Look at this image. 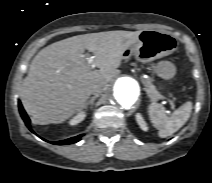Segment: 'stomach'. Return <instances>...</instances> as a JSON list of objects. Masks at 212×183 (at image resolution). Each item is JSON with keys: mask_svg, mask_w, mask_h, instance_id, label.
<instances>
[{"mask_svg": "<svg viewBox=\"0 0 212 183\" xmlns=\"http://www.w3.org/2000/svg\"><path fill=\"white\" fill-rule=\"evenodd\" d=\"M176 38L167 32L159 30H143L138 40L124 52V58L130 55L142 62H152L172 54L177 50ZM154 72L164 80H170L176 75L174 63L166 60L154 65Z\"/></svg>", "mask_w": 212, "mask_h": 183, "instance_id": "1", "label": "stomach"}]
</instances>
